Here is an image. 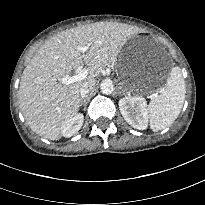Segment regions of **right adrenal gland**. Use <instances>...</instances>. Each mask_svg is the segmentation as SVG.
Returning <instances> with one entry per match:
<instances>
[{
  "label": "right adrenal gland",
  "mask_w": 205,
  "mask_h": 205,
  "mask_svg": "<svg viewBox=\"0 0 205 205\" xmlns=\"http://www.w3.org/2000/svg\"><path fill=\"white\" fill-rule=\"evenodd\" d=\"M85 101H86V99H85V98H82V99H81V102H80V106L84 105Z\"/></svg>",
  "instance_id": "1"
}]
</instances>
